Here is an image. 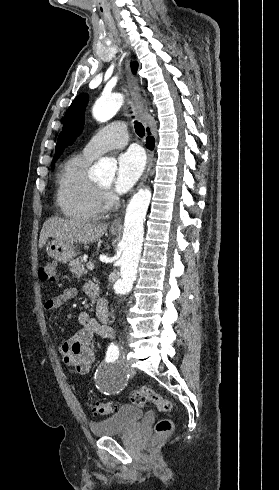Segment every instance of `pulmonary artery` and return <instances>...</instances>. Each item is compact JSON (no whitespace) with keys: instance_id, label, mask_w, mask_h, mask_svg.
<instances>
[{"instance_id":"obj_1","label":"pulmonary artery","mask_w":279,"mask_h":490,"mask_svg":"<svg viewBox=\"0 0 279 490\" xmlns=\"http://www.w3.org/2000/svg\"><path fill=\"white\" fill-rule=\"evenodd\" d=\"M123 117H116L114 124L107 125L96 131L82 150V154L95 159L114 148H121L128 143Z\"/></svg>"}]
</instances>
